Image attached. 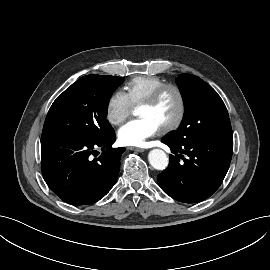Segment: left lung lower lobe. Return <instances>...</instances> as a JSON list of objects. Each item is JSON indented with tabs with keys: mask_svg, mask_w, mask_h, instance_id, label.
Instances as JSON below:
<instances>
[{
	"mask_svg": "<svg viewBox=\"0 0 270 270\" xmlns=\"http://www.w3.org/2000/svg\"><path fill=\"white\" fill-rule=\"evenodd\" d=\"M174 154L169 167L158 175L161 189L170 197L185 203L207 199L221 185L231 162L233 138H210L196 136L183 144L167 137L162 140ZM183 159L184 163L180 161Z\"/></svg>",
	"mask_w": 270,
	"mask_h": 270,
	"instance_id": "1",
	"label": "left lung lower lobe"
}]
</instances>
